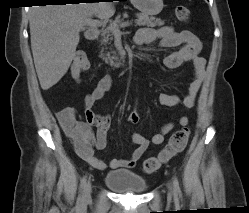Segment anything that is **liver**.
I'll return each instance as SVG.
<instances>
[{"label": "liver", "mask_w": 249, "mask_h": 213, "mask_svg": "<svg viewBox=\"0 0 249 213\" xmlns=\"http://www.w3.org/2000/svg\"><path fill=\"white\" fill-rule=\"evenodd\" d=\"M112 2L33 6L30 9L31 49L37 76L48 90L67 73L85 20L92 16L110 18Z\"/></svg>", "instance_id": "liver-1"}]
</instances>
